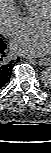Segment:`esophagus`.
<instances>
[{
    "label": "esophagus",
    "instance_id": "34e87169",
    "mask_svg": "<svg viewBox=\"0 0 51 153\" xmlns=\"http://www.w3.org/2000/svg\"><path fill=\"white\" fill-rule=\"evenodd\" d=\"M37 63H38L39 65L48 66V65L51 64V59H50V58H42V59H39V60L37 61Z\"/></svg>",
    "mask_w": 51,
    "mask_h": 153
}]
</instances>
